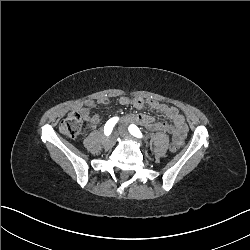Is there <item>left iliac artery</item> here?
<instances>
[{
    "label": "left iliac artery",
    "instance_id": "44dca946",
    "mask_svg": "<svg viewBox=\"0 0 250 250\" xmlns=\"http://www.w3.org/2000/svg\"><path fill=\"white\" fill-rule=\"evenodd\" d=\"M128 130H129V132H130L133 136H135V137H137V138H142V137H143V135H142L141 131L139 130V128H138L136 125H134V124H131V125L128 127Z\"/></svg>",
    "mask_w": 250,
    "mask_h": 250
}]
</instances>
